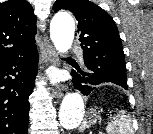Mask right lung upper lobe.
Masks as SVG:
<instances>
[{"label": "right lung upper lobe", "instance_id": "right-lung-upper-lobe-1", "mask_svg": "<svg viewBox=\"0 0 153 134\" xmlns=\"http://www.w3.org/2000/svg\"><path fill=\"white\" fill-rule=\"evenodd\" d=\"M36 17L26 0L0 3V62L35 48Z\"/></svg>", "mask_w": 153, "mask_h": 134}]
</instances>
